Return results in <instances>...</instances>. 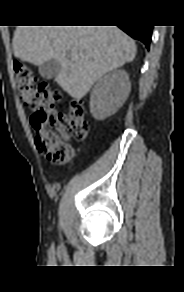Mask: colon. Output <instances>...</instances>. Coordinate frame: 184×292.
Here are the masks:
<instances>
[{"instance_id":"5ec220e1","label":"colon","mask_w":184,"mask_h":292,"mask_svg":"<svg viewBox=\"0 0 184 292\" xmlns=\"http://www.w3.org/2000/svg\"><path fill=\"white\" fill-rule=\"evenodd\" d=\"M13 70L22 101L34 111L31 125L38 150L50 165L68 162L73 155L69 141H82L88 134L82 102L74 100L67 112H57L55 103L60 94L50 83H37L34 73L19 61L14 62Z\"/></svg>"}]
</instances>
